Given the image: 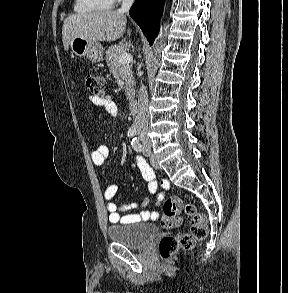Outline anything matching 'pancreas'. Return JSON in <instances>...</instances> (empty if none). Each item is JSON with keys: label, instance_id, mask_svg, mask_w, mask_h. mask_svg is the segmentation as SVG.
Segmentation results:
<instances>
[{"label": "pancreas", "instance_id": "1", "mask_svg": "<svg viewBox=\"0 0 288 293\" xmlns=\"http://www.w3.org/2000/svg\"><path fill=\"white\" fill-rule=\"evenodd\" d=\"M126 52V45L121 42L118 45H114L109 47V49L106 51V60L108 62V67L110 72L114 76H120L126 97L128 100H131L135 95V80L133 78V65L132 63L128 64H119V57L121 54Z\"/></svg>", "mask_w": 288, "mask_h": 293}]
</instances>
